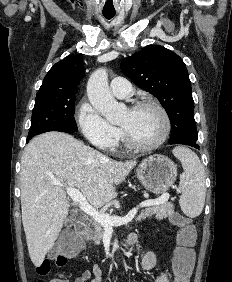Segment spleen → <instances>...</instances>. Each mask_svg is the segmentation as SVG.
Instances as JSON below:
<instances>
[{"mask_svg": "<svg viewBox=\"0 0 232 282\" xmlns=\"http://www.w3.org/2000/svg\"><path fill=\"white\" fill-rule=\"evenodd\" d=\"M173 154L178 158L184 169L180 177L182 195L179 199L183 213L189 217L201 214L205 203L204 168L198 156L189 148L176 147Z\"/></svg>", "mask_w": 232, "mask_h": 282, "instance_id": "obj_1", "label": "spleen"}]
</instances>
